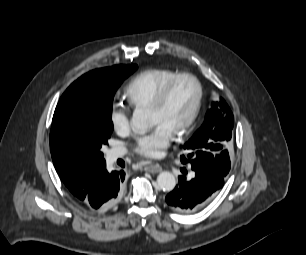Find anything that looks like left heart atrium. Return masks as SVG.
<instances>
[{
  "instance_id": "1",
  "label": "left heart atrium",
  "mask_w": 306,
  "mask_h": 255,
  "mask_svg": "<svg viewBox=\"0 0 306 255\" xmlns=\"http://www.w3.org/2000/svg\"><path fill=\"white\" fill-rule=\"evenodd\" d=\"M171 132L161 125H156L149 133L139 137L135 152L146 158H159L169 147Z\"/></svg>"
}]
</instances>
